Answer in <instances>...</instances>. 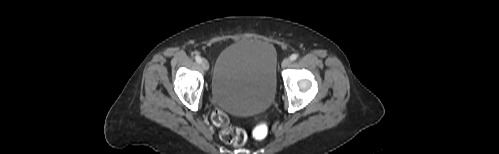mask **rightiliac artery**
I'll list each match as a JSON object with an SVG mask.
<instances>
[{
  "label": "right iliac artery",
  "mask_w": 499,
  "mask_h": 154,
  "mask_svg": "<svg viewBox=\"0 0 499 154\" xmlns=\"http://www.w3.org/2000/svg\"><path fill=\"white\" fill-rule=\"evenodd\" d=\"M195 60H196L198 63H201L202 58H201V56H200V55L196 54V56H195Z\"/></svg>",
  "instance_id": "82829eb1"
}]
</instances>
